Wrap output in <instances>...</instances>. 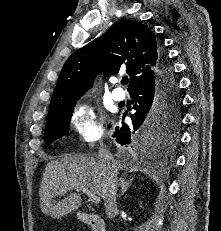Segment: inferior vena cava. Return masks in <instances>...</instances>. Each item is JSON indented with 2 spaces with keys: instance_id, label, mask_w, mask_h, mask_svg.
<instances>
[{
  "instance_id": "602c4592",
  "label": "inferior vena cava",
  "mask_w": 221,
  "mask_h": 231,
  "mask_svg": "<svg viewBox=\"0 0 221 231\" xmlns=\"http://www.w3.org/2000/svg\"><path fill=\"white\" fill-rule=\"evenodd\" d=\"M97 160L105 171L106 194L104 206L107 217L111 218L117 208L118 168L113 155L103 145L98 150Z\"/></svg>"
}]
</instances>
